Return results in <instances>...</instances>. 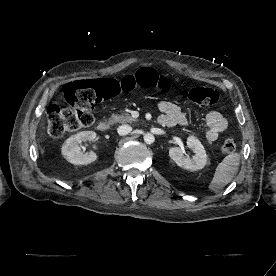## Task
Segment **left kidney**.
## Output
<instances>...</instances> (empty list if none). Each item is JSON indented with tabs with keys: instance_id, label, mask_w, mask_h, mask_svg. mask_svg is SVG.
<instances>
[{
	"instance_id": "left-kidney-1",
	"label": "left kidney",
	"mask_w": 276,
	"mask_h": 276,
	"mask_svg": "<svg viewBox=\"0 0 276 276\" xmlns=\"http://www.w3.org/2000/svg\"><path fill=\"white\" fill-rule=\"evenodd\" d=\"M187 146L195 153L192 158L185 157L179 147H171L169 149L170 158L184 169L197 171L204 168L207 164V154L201 142L196 137L190 136L187 139Z\"/></svg>"
}]
</instances>
